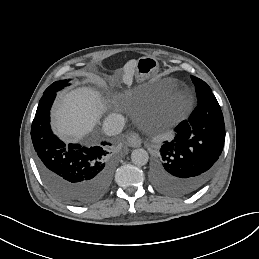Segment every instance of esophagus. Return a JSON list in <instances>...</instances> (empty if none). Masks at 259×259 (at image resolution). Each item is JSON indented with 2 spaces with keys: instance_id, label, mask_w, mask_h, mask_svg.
I'll return each instance as SVG.
<instances>
[{
  "instance_id": "obj_1",
  "label": "esophagus",
  "mask_w": 259,
  "mask_h": 259,
  "mask_svg": "<svg viewBox=\"0 0 259 259\" xmlns=\"http://www.w3.org/2000/svg\"><path fill=\"white\" fill-rule=\"evenodd\" d=\"M127 141L129 146L133 148L139 147L142 144V139L136 132H130L127 136Z\"/></svg>"
}]
</instances>
